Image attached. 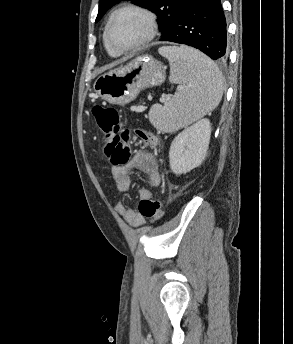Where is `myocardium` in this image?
Instances as JSON below:
<instances>
[{
  "label": "myocardium",
  "instance_id": "myocardium-1",
  "mask_svg": "<svg viewBox=\"0 0 293 344\" xmlns=\"http://www.w3.org/2000/svg\"><path fill=\"white\" fill-rule=\"evenodd\" d=\"M127 11H131V12H135L137 14H139L145 21V25H146V30H145V34L142 37V39L135 43L132 46L126 47V48H115L111 41H110V36H109V31H110V27L111 24L113 22V20L115 19V17L123 12H127ZM158 32V22H157V18L155 16V14L150 11L149 9L138 5V4H124L118 8H116L109 16L105 29H104V40L106 45L115 53L121 55V54H125V53H130V52H134L137 50H140L141 48L145 47L147 44H149L157 35Z\"/></svg>",
  "mask_w": 293,
  "mask_h": 344
}]
</instances>
